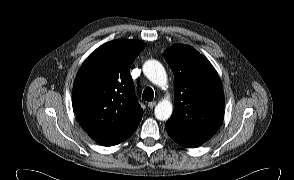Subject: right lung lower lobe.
Wrapping results in <instances>:
<instances>
[{
	"instance_id": "right-lung-lower-lobe-1",
	"label": "right lung lower lobe",
	"mask_w": 294,
	"mask_h": 180,
	"mask_svg": "<svg viewBox=\"0 0 294 180\" xmlns=\"http://www.w3.org/2000/svg\"><path fill=\"white\" fill-rule=\"evenodd\" d=\"M140 120H141V118L136 120L133 125H131L129 128L124 130L121 134L117 135L116 137H113L109 140H103L98 143L103 146H113V145H117V144L123 142L124 140L129 138L134 133V131L136 130V128L138 127V125L140 123Z\"/></svg>"
}]
</instances>
